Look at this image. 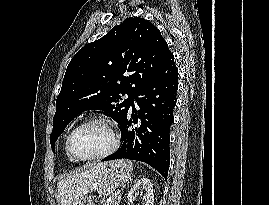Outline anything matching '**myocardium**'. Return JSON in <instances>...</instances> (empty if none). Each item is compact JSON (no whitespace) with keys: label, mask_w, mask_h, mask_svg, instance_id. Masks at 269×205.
<instances>
[{"label":"myocardium","mask_w":269,"mask_h":205,"mask_svg":"<svg viewBox=\"0 0 269 205\" xmlns=\"http://www.w3.org/2000/svg\"><path fill=\"white\" fill-rule=\"evenodd\" d=\"M92 123H101L103 124L107 130L109 131L112 139L111 146L105 150L104 152L89 156V157H81L78 156L73 149V138L78 130H80L82 127L92 124ZM120 146V136L117 131V127L115 122L104 115H95L91 116L85 120H83L81 123H79L69 134L68 140H67V151L68 154L76 161H93V160H100L103 158H106L110 155H112Z\"/></svg>","instance_id":"f54148a6"}]
</instances>
